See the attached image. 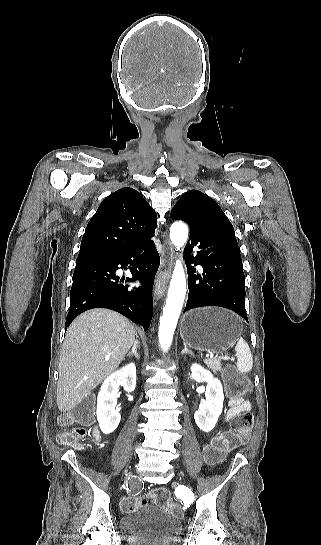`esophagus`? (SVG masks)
Returning a JSON list of instances; mask_svg holds the SVG:
<instances>
[{"instance_id":"obj_1","label":"esophagus","mask_w":321,"mask_h":545,"mask_svg":"<svg viewBox=\"0 0 321 545\" xmlns=\"http://www.w3.org/2000/svg\"><path fill=\"white\" fill-rule=\"evenodd\" d=\"M173 264V247L169 240L163 241L162 254H161V264L159 271L156 277L154 297L155 299H160L167 289L168 281L171 275Z\"/></svg>"}]
</instances>
